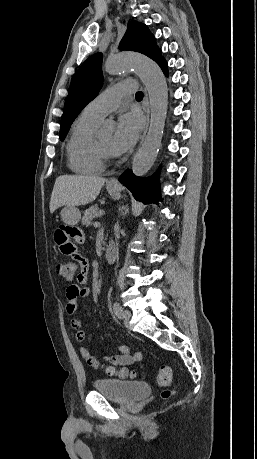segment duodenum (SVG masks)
Returning a JSON list of instances; mask_svg holds the SVG:
<instances>
[{
  "instance_id": "duodenum-1",
  "label": "duodenum",
  "mask_w": 257,
  "mask_h": 459,
  "mask_svg": "<svg viewBox=\"0 0 257 459\" xmlns=\"http://www.w3.org/2000/svg\"><path fill=\"white\" fill-rule=\"evenodd\" d=\"M105 261L113 264L117 258V247L114 242L109 243L104 253Z\"/></svg>"
}]
</instances>
